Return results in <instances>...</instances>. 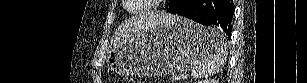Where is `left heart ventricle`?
<instances>
[{
	"label": "left heart ventricle",
	"mask_w": 307,
	"mask_h": 83,
	"mask_svg": "<svg viewBox=\"0 0 307 83\" xmlns=\"http://www.w3.org/2000/svg\"><path fill=\"white\" fill-rule=\"evenodd\" d=\"M132 3H136V2H132ZM144 5H133V4H131L130 5V9H132V10H139V9H141V7H143Z\"/></svg>",
	"instance_id": "b2bd125f"
}]
</instances>
